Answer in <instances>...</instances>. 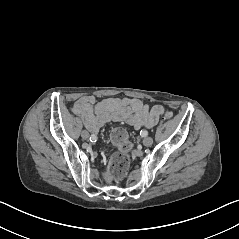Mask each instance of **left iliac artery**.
Masks as SVG:
<instances>
[{
    "label": "left iliac artery",
    "instance_id": "44dca946",
    "mask_svg": "<svg viewBox=\"0 0 239 239\" xmlns=\"http://www.w3.org/2000/svg\"><path fill=\"white\" fill-rule=\"evenodd\" d=\"M140 135H141L142 137H146V136L148 135V132H147L146 130H141V131H140Z\"/></svg>",
    "mask_w": 239,
    "mask_h": 239
}]
</instances>
